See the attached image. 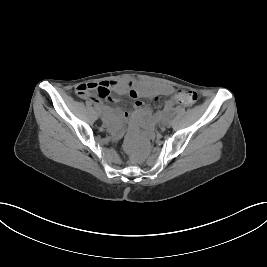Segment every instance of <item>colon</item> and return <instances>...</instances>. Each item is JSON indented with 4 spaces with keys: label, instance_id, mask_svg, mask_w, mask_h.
<instances>
[{
    "label": "colon",
    "instance_id": "colon-1",
    "mask_svg": "<svg viewBox=\"0 0 267 267\" xmlns=\"http://www.w3.org/2000/svg\"><path fill=\"white\" fill-rule=\"evenodd\" d=\"M112 92V88L105 86L103 82L100 83H88L79 89L80 97L90 98L96 93L99 97L109 99ZM179 103L185 106L193 105L198 96L196 92L192 90H181L176 95Z\"/></svg>",
    "mask_w": 267,
    "mask_h": 267
}]
</instances>
